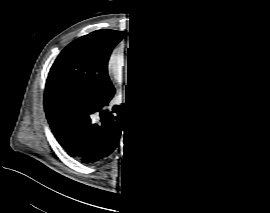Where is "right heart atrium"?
I'll list each match as a JSON object with an SVG mask.
<instances>
[{"mask_svg": "<svg viewBox=\"0 0 270 213\" xmlns=\"http://www.w3.org/2000/svg\"><path fill=\"white\" fill-rule=\"evenodd\" d=\"M118 77L121 81H127L130 75V66L127 60H115Z\"/></svg>", "mask_w": 270, "mask_h": 213, "instance_id": "d8ad5b80", "label": "right heart atrium"}]
</instances>
